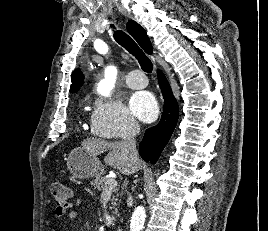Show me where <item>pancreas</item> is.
I'll use <instances>...</instances> for the list:
<instances>
[{
  "label": "pancreas",
  "instance_id": "cf45deb5",
  "mask_svg": "<svg viewBox=\"0 0 268 231\" xmlns=\"http://www.w3.org/2000/svg\"><path fill=\"white\" fill-rule=\"evenodd\" d=\"M107 179L102 178L101 176H96L94 181L92 182V185L94 188H97L98 190H104L105 183ZM114 192H117V189H114ZM114 200H116L115 196L112 198V204L115 205Z\"/></svg>",
  "mask_w": 268,
  "mask_h": 231
}]
</instances>
